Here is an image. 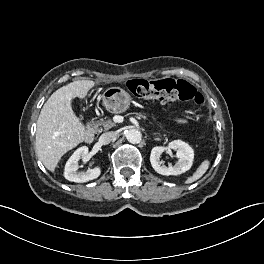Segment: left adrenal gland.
Here are the masks:
<instances>
[{
  "label": "left adrenal gland",
  "instance_id": "1",
  "mask_svg": "<svg viewBox=\"0 0 264 264\" xmlns=\"http://www.w3.org/2000/svg\"><path fill=\"white\" fill-rule=\"evenodd\" d=\"M158 133H153V135H157Z\"/></svg>",
  "mask_w": 264,
  "mask_h": 264
}]
</instances>
